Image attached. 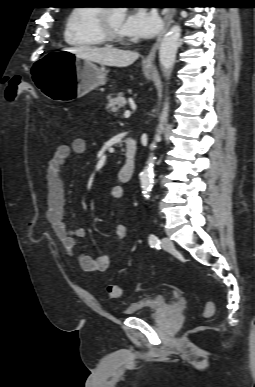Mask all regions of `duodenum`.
Wrapping results in <instances>:
<instances>
[{
    "label": "duodenum",
    "instance_id": "duodenum-1",
    "mask_svg": "<svg viewBox=\"0 0 255 387\" xmlns=\"http://www.w3.org/2000/svg\"><path fill=\"white\" fill-rule=\"evenodd\" d=\"M137 143L133 137L126 139L125 161L118 171L121 181L128 182L131 180L136 165Z\"/></svg>",
    "mask_w": 255,
    "mask_h": 387
}]
</instances>
